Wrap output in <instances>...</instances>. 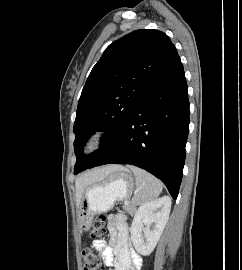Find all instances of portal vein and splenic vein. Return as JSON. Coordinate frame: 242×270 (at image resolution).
Segmentation results:
<instances>
[{
    "label": "portal vein and splenic vein",
    "mask_w": 242,
    "mask_h": 270,
    "mask_svg": "<svg viewBox=\"0 0 242 270\" xmlns=\"http://www.w3.org/2000/svg\"><path fill=\"white\" fill-rule=\"evenodd\" d=\"M125 204H129V201H125Z\"/></svg>",
    "instance_id": "portal-vein-and-splenic-vein-1"
}]
</instances>
